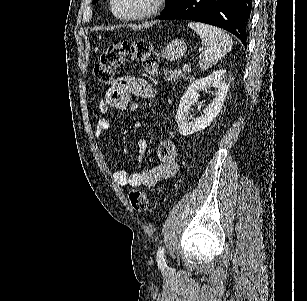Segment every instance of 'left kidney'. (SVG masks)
Segmentation results:
<instances>
[{
	"mask_svg": "<svg viewBox=\"0 0 307 301\" xmlns=\"http://www.w3.org/2000/svg\"><path fill=\"white\" fill-rule=\"evenodd\" d=\"M231 80H233L231 72L220 68V70H214L212 74L203 76V78H197V80H193L189 84L180 100L176 114L180 134H183V136L194 134L197 130H203V128L211 124L213 118L219 114L224 104ZM208 86H214V98L211 100L209 106L204 108L201 116L193 118L190 112V106L193 102H197L200 90H204Z\"/></svg>",
	"mask_w": 307,
	"mask_h": 301,
	"instance_id": "left-kidney-1",
	"label": "left kidney"
}]
</instances>
